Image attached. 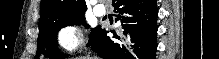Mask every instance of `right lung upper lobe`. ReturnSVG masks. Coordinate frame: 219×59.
Returning <instances> with one entry per match:
<instances>
[{
  "instance_id": "right-lung-upper-lobe-1",
  "label": "right lung upper lobe",
  "mask_w": 219,
  "mask_h": 59,
  "mask_svg": "<svg viewBox=\"0 0 219 59\" xmlns=\"http://www.w3.org/2000/svg\"><path fill=\"white\" fill-rule=\"evenodd\" d=\"M39 28L46 24L84 14L87 10L85 0H42Z\"/></svg>"
}]
</instances>
